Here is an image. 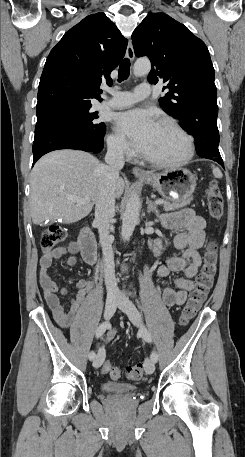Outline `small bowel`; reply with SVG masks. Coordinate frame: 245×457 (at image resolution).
Listing matches in <instances>:
<instances>
[{
  "label": "small bowel",
  "instance_id": "c3829d8e",
  "mask_svg": "<svg viewBox=\"0 0 245 457\" xmlns=\"http://www.w3.org/2000/svg\"><path fill=\"white\" fill-rule=\"evenodd\" d=\"M161 224L168 230H179L174 237L175 248L183 250L181 256H172L164 265L157 268L159 277H167L171 272H183L174 280L175 288L166 286L162 292L163 302L169 306L183 305L187 295L194 288L192 279L197 275L201 265L198 250L205 241L206 221L197 215L192 209H183L177 212L167 213L161 216ZM80 250L77 241H70L64 246L55 248L45 253L40 259L39 280L44 298L52 311L56 322L63 328L69 329L70 338L74 345L82 350L90 347V336L85 329L74 323L75 315L80 304L84 301L87 291L93 288V283L84 279H72L68 283L74 285L75 293L67 306L62 305L58 293L66 295L68 290L60 288L54 281L49 269L56 259L66 257L65 265L74 268L77 265L75 254ZM160 242L156 243L155 252L159 253ZM116 334L113 330L108 333L106 339H111Z\"/></svg>",
  "mask_w": 245,
  "mask_h": 457
}]
</instances>
